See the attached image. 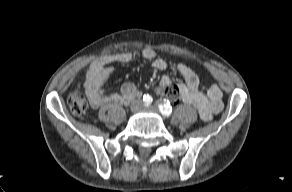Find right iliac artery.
Segmentation results:
<instances>
[{
	"instance_id": "82829eb1",
	"label": "right iliac artery",
	"mask_w": 292,
	"mask_h": 192,
	"mask_svg": "<svg viewBox=\"0 0 292 192\" xmlns=\"http://www.w3.org/2000/svg\"><path fill=\"white\" fill-rule=\"evenodd\" d=\"M153 99L150 95L146 94L143 96V102L145 105H150L152 103Z\"/></svg>"
}]
</instances>
